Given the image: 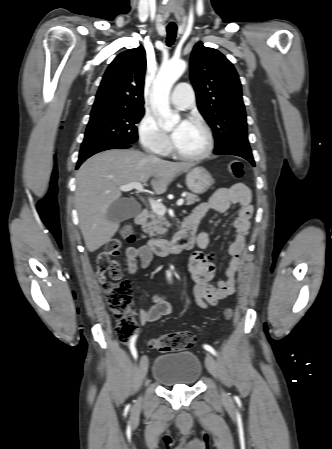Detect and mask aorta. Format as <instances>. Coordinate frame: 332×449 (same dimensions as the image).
Listing matches in <instances>:
<instances>
[{
	"label": "aorta",
	"mask_w": 332,
	"mask_h": 449,
	"mask_svg": "<svg viewBox=\"0 0 332 449\" xmlns=\"http://www.w3.org/2000/svg\"><path fill=\"white\" fill-rule=\"evenodd\" d=\"M186 62L183 60H171L164 63L153 83L152 97L153 104L156 107L162 122L161 126L165 129L173 128L179 121L180 116L173 113L169 105V95L174 83L184 73ZM170 279L171 272H167Z\"/></svg>",
	"instance_id": "762f6f07"
}]
</instances>
